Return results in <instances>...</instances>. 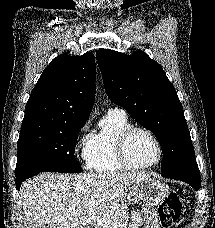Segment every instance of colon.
<instances>
[{
  "mask_svg": "<svg viewBox=\"0 0 215 228\" xmlns=\"http://www.w3.org/2000/svg\"><path fill=\"white\" fill-rule=\"evenodd\" d=\"M182 211V203L177 193H170L159 206V219L163 228H174Z\"/></svg>",
  "mask_w": 215,
  "mask_h": 228,
  "instance_id": "1",
  "label": "colon"
}]
</instances>
